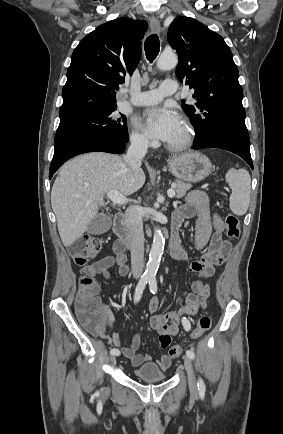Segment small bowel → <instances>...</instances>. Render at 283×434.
I'll return each instance as SVG.
<instances>
[{"label": "small bowel", "instance_id": "c3829d8e", "mask_svg": "<svg viewBox=\"0 0 283 434\" xmlns=\"http://www.w3.org/2000/svg\"><path fill=\"white\" fill-rule=\"evenodd\" d=\"M196 216L198 220L195 230V248L197 251H201L207 246V250L199 259L189 265V270L196 273L199 278L193 282L191 292H183L184 307L179 311L154 314L158 308L156 298H153L148 306L149 312L154 314L150 319V325L159 334V344L162 348H168L172 336L178 333L182 316L195 315L200 308L206 307L210 287L205 280L214 275L215 267L223 264L232 250L231 242L223 237L224 222L222 218L213 211L207 195L201 190H193L187 195L184 204L174 214L172 225L179 227L185 219ZM170 253L178 261H186L188 258L187 252L180 241L170 244ZM114 266L117 267L119 276L124 277L129 272L126 250L118 240L113 244V255L106 256L86 266L85 271L93 277L100 275L110 279L109 270ZM102 312L104 319L101 331L105 327L111 330V341L118 349L121 341L119 334L114 330V315L106 306H102ZM140 343L141 337L136 335L130 345L118 349L123 356L131 361L134 367H140L152 360V357L148 354L137 353ZM170 365L171 357L162 354L157 361V366L161 370H166Z\"/></svg>", "mask_w": 283, "mask_h": 434}]
</instances>
